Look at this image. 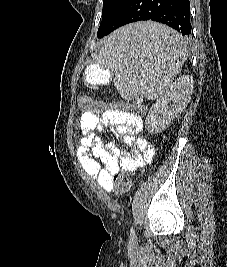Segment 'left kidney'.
Wrapping results in <instances>:
<instances>
[{
	"label": "left kidney",
	"mask_w": 227,
	"mask_h": 267,
	"mask_svg": "<svg viewBox=\"0 0 227 267\" xmlns=\"http://www.w3.org/2000/svg\"><path fill=\"white\" fill-rule=\"evenodd\" d=\"M193 77H178L152 105L145 120V127L152 134L161 133L177 118L190 102Z\"/></svg>",
	"instance_id": "obj_1"
}]
</instances>
